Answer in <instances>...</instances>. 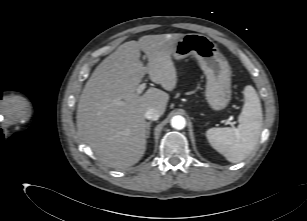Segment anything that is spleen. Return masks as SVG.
Instances as JSON below:
<instances>
[{
	"mask_svg": "<svg viewBox=\"0 0 307 221\" xmlns=\"http://www.w3.org/2000/svg\"><path fill=\"white\" fill-rule=\"evenodd\" d=\"M237 128H210L206 137L210 145L229 162L243 161L255 149L261 134L263 114L259 96L251 85L244 89V106Z\"/></svg>",
	"mask_w": 307,
	"mask_h": 221,
	"instance_id": "spleen-1",
	"label": "spleen"
}]
</instances>
